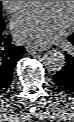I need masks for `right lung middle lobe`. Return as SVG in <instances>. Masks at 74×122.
Masks as SVG:
<instances>
[{
	"instance_id": "dd1d6c3e",
	"label": "right lung middle lobe",
	"mask_w": 74,
	"mask_h": 122,
	"mask_svg": "<svg viewBox=\"0 0 74 122\" xmlns=\"http://www.w3.org/2000/svg\"><path fill=\"white\" fill-rule=\"evenodd\" d=\"M5 29V25L0 17V35L2 34L3 30Z\"/></svg>"
}]
</instances>
